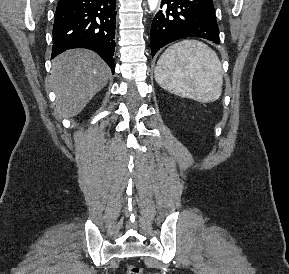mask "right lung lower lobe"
I'll use <instances>...</instances> for the list:
<instances>
[{"instance_id":"right-lung-lower-lobe-1","label":"right lung lower lobe","mask_w":289,"mask_h":274,"mask_svg":"<svg viewBox=\"0 0 289 274\" xmlns=\"http://www.w3.org/2000/svg\"><path fill=\"white\" fill-rule=\"evenodd\" d=\"M116 0H59L53 25L52 58L65 50L98 53L114 71Z\"/></svg>"}]
</instances>
